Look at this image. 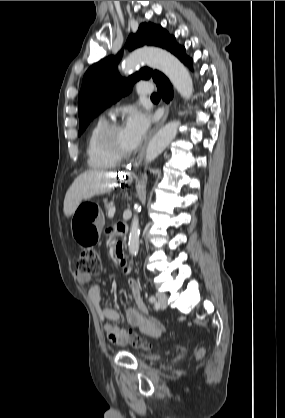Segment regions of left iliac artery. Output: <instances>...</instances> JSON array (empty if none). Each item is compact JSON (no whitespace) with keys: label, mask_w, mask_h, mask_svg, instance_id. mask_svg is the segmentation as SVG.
<instances>
[{"label":"left iliac artery","mask_w":285,"mask_h":418,"mask_svg":"<svg viewBox=\"0 0 285 418\" xmlns=\"http://www.w3.org/2000/svg\"><path fill=\"white\" fill-rule=\"evenodd\" d=\"M148 301H149L150 303H155V297L150 296V297L148 298Z\"/></svg>","instance_id":"44dca946"}]
</instances>
